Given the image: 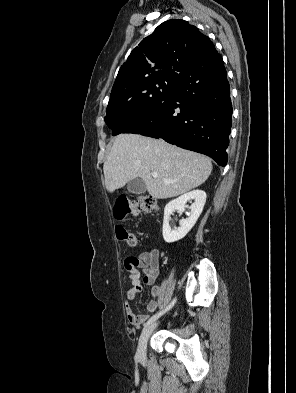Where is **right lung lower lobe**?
<instances>
[{"label": "right lung lower lobe", "instance_id": "1", "mask_svg": "<svg viewBox=\"0 0 296 393\" xmlns=\"http://www.w3.org/2000/svg\"><path fill=\"white\" fill-rule=\"evenodd\" d=\"M231 126L230 86L213 46L178 78L170 96L121 133L163 138L225 166Z\"/></svg>", "mask_w": 296, "mask_h": 393}]
</instances>
